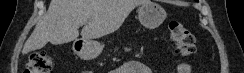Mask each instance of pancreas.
<instances>
[{"label": "pancreas", "mask_w": 244, "mask_h": 73, "mask_svg": "<svg viewBox=\"0 0 244 73\" xmlns=\"http://www.w3.org/2000/svg\"><path fill=\"white\" fill-rule=\"evenodd\" d=\"M125 49V51H129L130 49H128V48H124ZM116 50V49H115Z\"/></svg>", "instance_id": "cf45deb5"}]
</instances>
